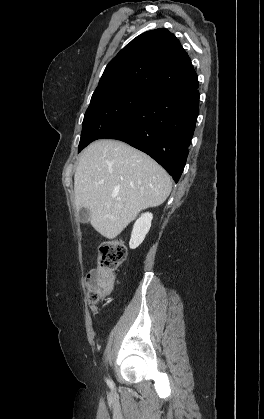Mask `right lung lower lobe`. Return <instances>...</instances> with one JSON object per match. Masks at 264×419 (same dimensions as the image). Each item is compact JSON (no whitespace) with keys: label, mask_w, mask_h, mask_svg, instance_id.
<instances>
[{"label":"right lung lower lobe","mask_w":264,"mask_h":419,"mask_svg":"<svg viewBox=\"0 0 264 419\" xmlns=\"http://www.w3.org/2000/svg\"><path fill=\"white\" fill-rule=\"evenodd\" d=\"M198 83L154 94L101 138L117 139L147 153L177 183L198 116Z\"/></svg>","instance_id":"1"}]
</instances>
